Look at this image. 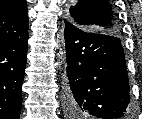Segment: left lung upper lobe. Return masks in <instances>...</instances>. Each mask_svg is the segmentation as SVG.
Returning a JSON list of instances; mask_svg holds the SVG:
<instances>
[{
    "label": "left lung upper lobe",
    "instance_id": "1",
    "mask_svg": "<svg viewBox=\"0 0 142 119\" xmlns=\"http://www.w3.org/2000/svg\"><path fill=\"white\" fill-rule=\"evenodd\" d=\"M66 20L83 30L98 34L118 36L120 31L108 0H77L70 7Z\"/></svg>",
    "mask_w": 142,
    "mask_h": 119
}]
</instances>
